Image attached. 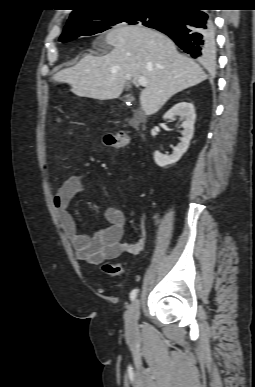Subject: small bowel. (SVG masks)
Wrapping results in <instances>:
<instances>
[{"label":"small bowel","mask_w":255,"mask_h":387,"mask_svg":"<svg viewBox=\"0 0 255 387\" xmlns=\"http://www.w3.org/2000/svg\"><path fill=\"white\" fill-rule=\"evenodd\" d=\"M81 190V180L77 175L69 176L57 189L53 198L59 224L71 242L78 260L92 265L100 264L120 255L138 254L145 245V234L133 243L123 240L126 215L122 209L110 207L104 211L106 226L98 228L92 236L78 231L76 223L69 212V205Z\"/></svg>","instance_id":"obj_1"}]
</instances>
